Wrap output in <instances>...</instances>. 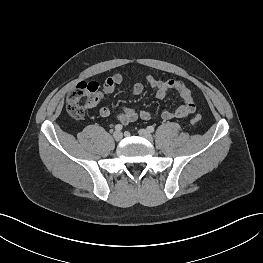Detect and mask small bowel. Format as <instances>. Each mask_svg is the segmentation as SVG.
Wrapping results in <instances>:
<instances>
[{
	"label": "small bowel",
	"mask_w": 263,
	"mask_h": 263,
	"mask_svg": "<svg viewBox=\"0 0 263 263\" xmlns=\"http://www.w3.org/2000/svg\"><path fill=\"white\" fill-rule=\"evenodd\" d=\"M123 82V78L120 74H113L108 76L102 85V88L93 97L91 106L98 105L106 96L112 94L116 87ZM146 82L155 90L156 97L163 99L170 91H176L183 103L175 111H164L161 117L165 121L172 120L174 118H186L196 110V105L192 97L191 90L180 80H159L153 76H147ZM144 90L142 83H135L132 86V92L135 95H140ZM99 115L102 117H110L113 115L112 111L108 107H101L99 109ZM115 118L122 124H129L137 119L148 121L151 119V114L147 110L136 111L132 108L125 107L120 113L115 115Z\"/></svg>",
	"instance_id": "small-bowel-1"
}]
</instances>
